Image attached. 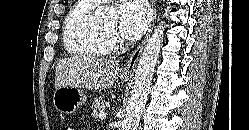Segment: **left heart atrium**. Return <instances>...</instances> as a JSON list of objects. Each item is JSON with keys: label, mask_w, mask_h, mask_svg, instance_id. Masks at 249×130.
Masks as SVG:
<instances>
[{"label": "left heart atrium", "mask_w": 249, "mask_h": 130, "mask_svg": "<svg viewBox=\"0 0 249 130\" xmlns=\"http://www.w3.org/2000/svg\"><path fill=\"white\" fill-rule=\"evenodd\" d=\"M150 11L142 0L126 2L119 9V31L129 41L138 39L148 28Z\"/></svg>", "instance_id": "obj_1"}]
</instances>
